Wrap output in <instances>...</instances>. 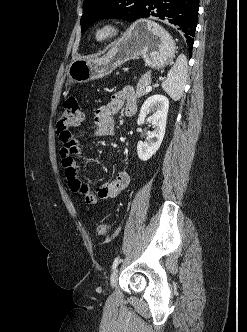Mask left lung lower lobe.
Segmentation results:
<instances>
[{"instance_id":"0a47b994","label":"left lung lower lobe","mask_w":247,"mask_h":332,"mask_svg":"<svg viewBox=\"0 0 247 332\" xmlns=\"http://www.w3.org/2000/svg\"><path fill=\"white\" fill-rule=\"evenodd\" d=\"M198 10V0H147L139 18L153 16L177 26L184 33L188 49L192 51Z\"/></svg>"}]
</instances>
